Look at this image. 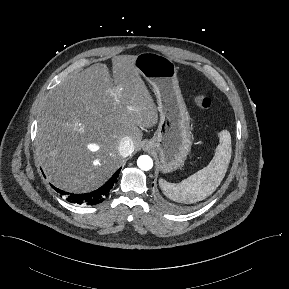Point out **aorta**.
I'll return each instance as SVG.
<instances>
[{
    "label": "aorta",
    "mask_w": 289,
    "mask_h": 289,
    "mask_svg": "<svg viewBox=\"0 0 289 289\" xmlns=\"http://www.w3.org/2000/svg\"><path fill=\"white\" fill-rule=\"evenodd\" d=\"M138 167L144 171H148L153 167V160L148 155H142L137 160Z\"/></svg>",
    "instance_id": "762f6f07"
}]
</instances>
